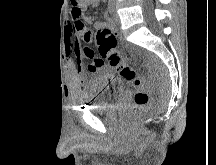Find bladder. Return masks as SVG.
Returning <instances> with one entry per match:
<instances>
[{
	"label": "bladder",
	"instance_id": "1",
	"mask_svg": "<svg viewBox=\"0 0 216 165\" xmlns=\"http://www.w3.org/2000/svg\"><path fill=\"white\" fill-rule=\"evenodd\" d=\"M118 80V76L106 70L98 76H91V81H85V86H91L88 97L92 101L88 105L92 107V111H109L112 103H117L118 97H125L123 89H119L122 81Z\"/></svg>",
	"mask_w": 216,
	"mask_h": 165
}]
</instances>
